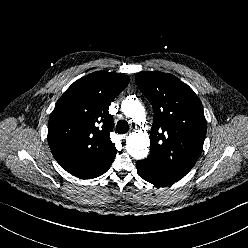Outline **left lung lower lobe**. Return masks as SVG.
Listing matches in <instances>:
<instances>
[{"label":"left lung lower lobe","instance_id":"1","mask_svg":"<svg viewBox=\"0 0 248 248\" xmlns=\"http://www.w3.org/2000/svg\"><path fill=\"white\" fill-rule=\"evenodd\" d=\"M136 166L141 178L157 186H166L181 179V177L162 168L148 157L137 161Z\"/></svg>","mask_w":248,"mask_h":248}]
</instances>
